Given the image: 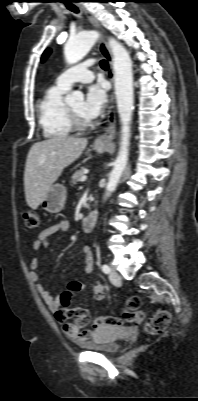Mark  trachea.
I'll return each instance as SVG.
<instances>
[{"label": "trachea", "instance_id": "3493384b", "mask_svg": "<svg viewBox=\"0 0 198 401\" xmlns=\"http://www.w3.org/2000/svg\"><path fill=\"white\" fill-rule=\"evenodd\" d=\"M66 7L69 10H71V11H73L75 13L79 12L78 8L75 5H73L72 3H67ZM100 66H101L102 69L107 70L108 69V62L106 60H101L100 61Z\"/></svg>", "mask_w": 198, "mask_h": 401}]
</instances>
